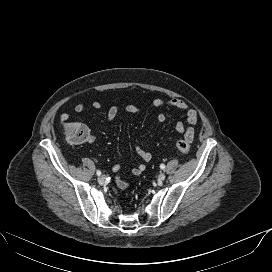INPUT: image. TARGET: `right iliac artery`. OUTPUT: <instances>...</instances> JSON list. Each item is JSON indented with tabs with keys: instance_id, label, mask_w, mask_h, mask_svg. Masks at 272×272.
Masks as SVG:
<instances>
[{
	"instance_id": "obj_1",
	"label": "right iliac artery",
	"mask_w": 272,
	"mask_h": 272,
	"mask_svg": "<svg viewBox=\"0 0 272 272\" xmlns=\"http://www.w3.org/2000/svg\"><path fill=\"white\" fill-rule=\"evenodd\" d=\"M96 174H97L98 176H100V175H101V171H100V170H97Z\"/></svg>"
}]
</instances>
